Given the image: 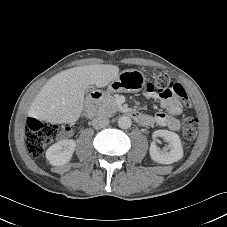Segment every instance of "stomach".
Masks as SVG:
<instances>
[{"label": "stomach", "mask_w": 227, "mask_h": 227, "mask_svg": "<svg viewBox=\"0 0 227 227\" xmlns=\"http://www.w3.org/2000/svg\"><path fill=\"white\" fill-rule=\"evenodd\" d=\"M145 84L146 77L141 71L128 69L118 74V76L108 85L107 92H139L144 88Z\"/></svg>", "instance_id": "1"}]
</instances>
